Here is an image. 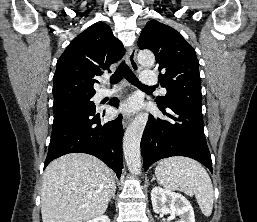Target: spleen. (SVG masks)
<instances>
[{
  "label": "spleen",
  "mask_w": 257,
  "mask_h": 222,
  "mask_svg": "<svg viewBox=\"0 0 257 222\" xmlns=\"http://www.w3.org/2000/svg\"><path fill=\"white\" fill-rule=\"evenodd\" d=\"M155 175L164 188L182 191L189 196L195 195L202 213L207 217L211 215L214 201L213 185L200 163L186 157L166 158L158 163Z\"/></svg>",
  "instance_id": "3e777b00"
}]
</instances>
